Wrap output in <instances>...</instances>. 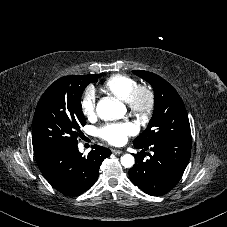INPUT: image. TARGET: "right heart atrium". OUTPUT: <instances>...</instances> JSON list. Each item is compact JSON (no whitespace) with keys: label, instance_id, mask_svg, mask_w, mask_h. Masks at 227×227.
<instances>
[{"label":"right heart atrium","instance_id":"obj_1","mask_svg":"<svg viewBox=\"0 0 227 227\" xmlns=\"http://www.w3.org/2000/svg\"><path fill=\"white\" fill-rule=\"evenodd\" d=\"M97 95L95 90L88 89L81 99V110L85 117L92 118L96 115Z\"/></svg>","mask_w":227,"mask_h":227}]
</instances>
